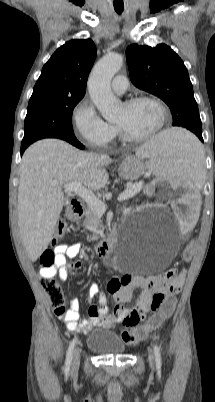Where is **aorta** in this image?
Returning a JSON list of instances; mask_svg holds the SVG:
<instances>
[{
  "instance_id": "aorta-1",
  "label": "aorta",
  "mask_w": 215,
  "mask_h": 402,
  "mask_svg": "<svg viewBox=\"0 0 215 402\" xmlns=\"http://www.w3.org/2000/svg\"><path fill=\"white\" fill-rule=\"evenodd\" d=\"M123 57L120 54L110 53L100 59L93 67L88 79L90 97L104 119H114L120 109V101L111 90V80L121 69ZM123 258L117 261L122 265Z\"/></svg>"
}]
</instances>
